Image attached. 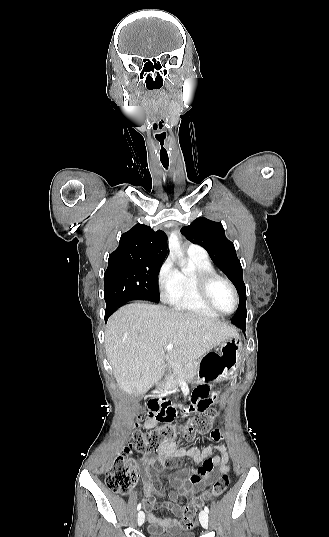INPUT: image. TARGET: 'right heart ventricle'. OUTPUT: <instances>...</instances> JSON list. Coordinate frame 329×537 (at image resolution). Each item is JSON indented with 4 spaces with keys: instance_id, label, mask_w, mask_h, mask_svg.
I'll list each match as a JSON object with an SVG mask.
<instances>
[{
    "instance_id": "1",
    "label": "right heart ventricle",
    "mask_w": 329,
    "mask_h": 537,
    "mask_svg": "<svg viewBox=\"0 0 329 537\" xmlns=\"http://www.w3.org/2000/svg\"><path fill=\"white\" fill-rule=\"evenodd\" d=\"M194 270L179 272V286L168 299L170 305L177 311L215 317L218 314L211 310L201 299L194 280L196 270L214 271L208 257L200 258L189 255Z\"/></svg>"
}]
</instances>
